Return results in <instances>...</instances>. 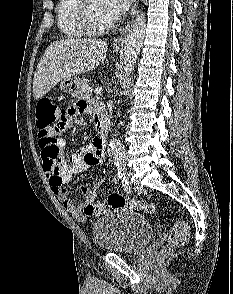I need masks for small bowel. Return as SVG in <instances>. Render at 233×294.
Wrapping results in <instances>:
<instances>
[{
	"label": "small bowel",
	"instance_id": "small-bowel-1",
	"mask_svg": "<svg viewBox=\"0 0 233 294\" xmlns=\"http://www.w3.org/2000/svg\"><path fill=\"white\" fill-rule=\"evenodd\" d=\"M97 105L92 101H79L71 104V108H58V119L53 120L51 128L53 132H40V137H63L70 134L68 126H73L76 118L82 115H94ZM95 117V116H94ZM43 169L49 181L52 191L61 201L63 207L77 221H85L94 214L87 213V207L94 205L97 188L101 182L93 186H82L81 193L85 197L82 204L76 205L69 197V184L75 174L87 170L90 167L100 165L105 160L104 144L95 137L92 142L78 151L65 152L67 142L63 138L55 139L53 144H43L40 139ZM68 157V158H65Z\"/></svg>",
	"mask_w": 233,
	"mask_h": 294
}]
</instances>
